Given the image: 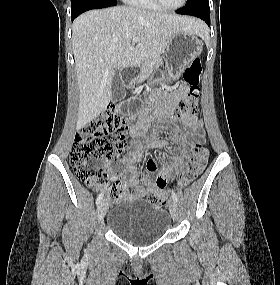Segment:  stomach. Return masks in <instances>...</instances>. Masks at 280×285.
<instances>
[{"instance_id": "1", "label": "stomach", "mask_w": 280, "mask_h": 285, "mask_svg": "<svg viewBox=\"0 0 280 285\" xmlns=\"http://www.w3.org/2000/svg\"><path fill=\"white\" fill-rule=\"evenodd\" d=\"M202 52V42L188 31L174 34L166 49V70L170 77L177 79L189 62Z\"/></svg>"}]
</instances>
